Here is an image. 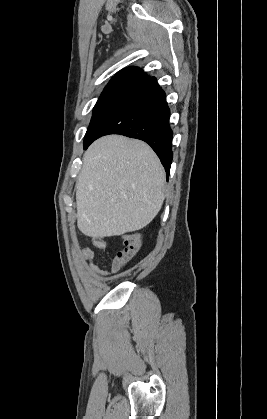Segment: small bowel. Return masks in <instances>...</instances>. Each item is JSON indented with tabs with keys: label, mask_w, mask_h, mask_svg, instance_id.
<instances>
[{
	"label": "small bowel",
	"mask_w": 267,
	"mask_h": 419,
	"mask_svg": "<svg viewBox=\"0 0 267 419\" xmlns=\"http://www.w3.org/2000/svg\"><path fill=\"white\" fill-rule=\"evenodd\" d=\"M93 244L95 247L99 249H105L107 247V243L104 237H95L93 239ZM81 256L83 261L90 263V270L96 276H105L110 273L117 272L121 267L116 260L115 257L111 259L110 262V271L102 270L96 263H95V254L94 251L90 248H84L81 252Z\"/></svg>",
	"instance_id": "small-bowel-1"
}]
</instances>
